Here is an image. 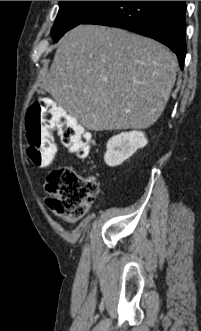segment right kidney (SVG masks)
Here are the masks:
<instances>
[{
    "instance_id": "obj_1",
    "label": "right kidney",
    "mask_w": 201,
    "mask_h": 331,
    "mask_svg": "<svg viewBox=\"0 0 201 331\" xmlns=\"http://www.w3.org/2000/svg\"><path fill=\"white\" fill-rule=\"evenodd\" d=\"M147 142L145 134L141 131L122 132L115 135L107 142L104 161L108 166H118L130 158L137 149L143 148Z\"/></svg>"
}]
</instances>
